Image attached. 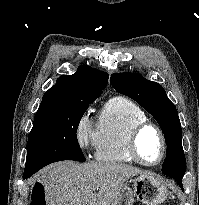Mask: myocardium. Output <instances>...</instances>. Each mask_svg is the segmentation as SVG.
<instances>
[{
  "instance_id": "obj_1",
  "label": "myocardium",
  "mask_w": 199,
  "mask_h": 205,
  "mask_svg": "<svg viewBox=\"0 0 199 205\" xmlns=\"http://www.w3.org/2000/svg\"><path fill=\"white\" fill-rule=\"evenodd\" d=\"M147 129L155 130L161 141V147H162L161 155H160V158L156 162L145 161L139 153L138 140H139L140 135ZM127 148H128V152L130 156L135 162L141 165H144V166L152 167V166H157L163 162L167 154L168 143H167V139L165 137L163 130L157 124L150 122V121H145V122L135 125L132 128L128 136Z\"/></svg>"
}]
</instances>
